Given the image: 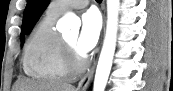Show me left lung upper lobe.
Instances as JSON below:
<instances>
[{
  "label": "left lung upper lobe",
  "instance_id": "obj_1",
  "mask_svg": "<svg viewBox=\"0 0 173 91\" xmlns=\"http://www.w3.org/2000/svg\"><path fill=\"white\" fill-rule=\"evenodd\" d=\"M36 3H37V0H28L27 1V6L24 10V15H23V23H22V27H21V37H23V35L25 33L29 14L31 13V11Z\"/></svg>",
  "mask_w": 173,
  "mask_h": 91
}]
</instances>
